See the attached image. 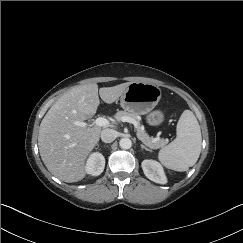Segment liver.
I'll list each match as a JSON object with an SVG mask.
<instances>
[{"label": "liver", "instance_id": "1", "mask_svg": "<svg viewBox=\"0 0 243 243\" xmlns=\"http://www.w3.org/2000/svg\"><path fill=\"white\" fill-rule=\"evenodd\" d=\"M129 82L99 89L96 83L75 86L64 93L48 110L39 127L38 146L47 169L64 182L82 180L85 162L97 145L100 126L79 127L74 121L92 118L100 98L111 104L121 97Z\"/></svg>", "mask_w": 243, "mask_h": 243}]
</instances>
